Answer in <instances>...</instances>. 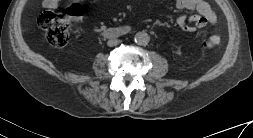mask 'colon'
<instances>
[{
  "label": "colon",
  "instance_id": "1",
  "mask_svg": "<svg viewBox=\"0 0 253 138\" xmlns=\"http://www.w3.org/2000/svg\"><path fill=\"white\" fill-rule=\"evenodd\" d=\"M83 7L74 4L67 8L64 13L46 11L39 16L38 23L48 30L49 39L56 46H63L69 38L70 21L78 20L83 15ZM220 41L218 36H211L206 41L208 47L217 45Z\"/></svg>",
  "mask_w": 253,
  "mask_h": 138
}]
</instances>
